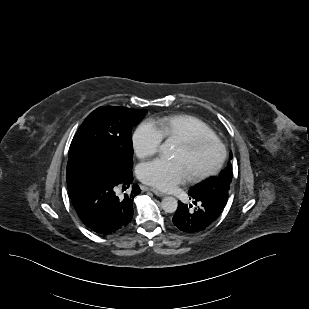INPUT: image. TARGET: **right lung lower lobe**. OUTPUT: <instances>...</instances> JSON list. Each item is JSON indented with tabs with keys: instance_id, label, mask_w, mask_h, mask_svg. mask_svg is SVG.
I'll return each mask as SVG.
<instances>
[{
	"instance_id": "98d812e1",
	"label": "right lung lower lobe",
	"mask_w": 309,
	"mask_h": 309,
	"mask_svg": "<svg viewBox=\"0 0 309 309\" xmlns=\"http://www.w3.org/2000/svg\"><path fill=\"white\" fill-rule=\"evenodd\" d=\"M132 170V169H131ZM117 176L103 165L88 160H70L66 179L72 204L91 230L110 235L125 229L133 217V200L141 190L134 184L123 197L115 193L117 186L133 181L132 171Z\"/></svg>"
}]
</instances>
